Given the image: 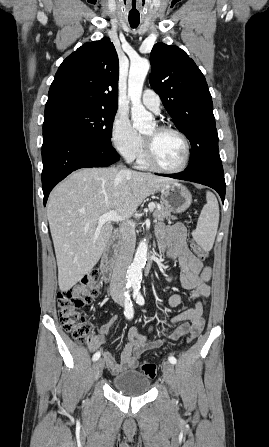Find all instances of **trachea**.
<instances>
[{
	"label": "trachea",
	"mask_w": 269,
	"mask_h": 447,
	"mask_svg": "<svg viewBox=\"0 0 269 447\" xmlns=\"http://www.w3.org/2000/svg\"><path fill=\"white\" fill-rule=\"evenodd\" d=\"M132 28H136L139 25V22H129Z\"/></svg>",
	"instance_id": "1"
}]
</instances>
